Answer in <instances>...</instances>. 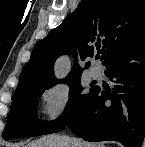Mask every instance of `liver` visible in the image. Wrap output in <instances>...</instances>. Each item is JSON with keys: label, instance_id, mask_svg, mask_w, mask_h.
Instances as JSON below:
<instances>
[{"label": "liver", "instance_id": "1", "mask_svg": "<svg viewBox=\"0 0 145 147\" xmlns=\"http://www.w3.org/2000/svg\"><path fill=\"white\" fill-rule=\"evenodd\" d=\"M26 147H104L99 143H88L78 138L59 135H47L32 141Z\"/></svg>", "mask_w": 145, "mask_h": 147}]
</instances>
